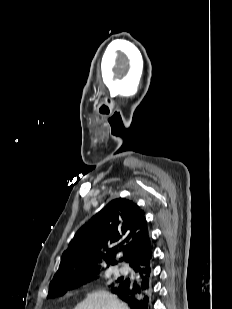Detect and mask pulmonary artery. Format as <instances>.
Here are the masks:
<instances>
[{
  "label": "pulmonary artery",
  "instance_id": "1",
  "mask_svg": "<svg viewBox=\"0 0 232 309\" xmlns=\"http://www.w3.org/2000/svg\"><path fill=\"white\" fill-rule=\"evenodd\" d=\"M119 272L122 273V274H126L128 272V269L124 266L120 267L119 268Z\"/></svg>",
  "mask_w": 232,
  "mask_h": 309
}]
</instances>
